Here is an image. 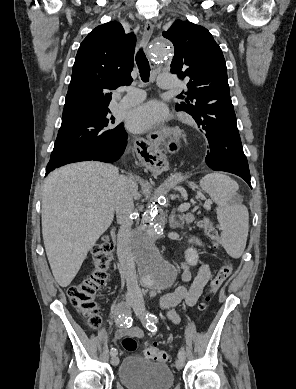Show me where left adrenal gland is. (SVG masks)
<instances>
[{"mask_svg":"<svg viewBox=\"0 0 296 389\" xmlns=\"http://www.w3.org/2000/svg\"><path fill=\"white\" fill-rule=\"evenodd\" d=\"M169 226L172 229L181 228L183 229V224L180 220L176 219V211L173 210L169 216Z\"/></svg>","mask_w":296,"mask_h":389,"instance_id":"1","label":"left adrenal gland"}]
</instances>
